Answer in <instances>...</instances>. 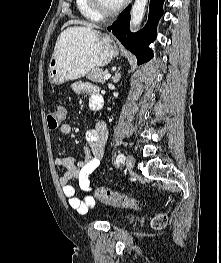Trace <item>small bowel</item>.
<instances>
[{
	"mask_svg": "<svg viewBox=\"0 0 221 263\" xmlns=\"http://www.w3.org/2000/svg\"><path fill=\"white\" fill-rule=\"evenodd\" d=\"M72 89L77 95H85L89 97V104L93 108L102 97L99 93V88L89 82H75ZM62 134H69L71 126L63 123L59 127ZM108 136V129L104 122H97L95 126L86 132L87 148L85 156L81 160L72 157L55 158L57 166L64 169V172L59 176V184L63 195L66 197L69 206L79 212L85 214L93 209L96 205L95 198L88 194L84 198H79L75 195V188L70 185V181L76 179L80 189L86 193L92 190L90 176L97 169L104 154V146Z\"/></svg>",
	"mask_w": 221,
	"mask_h": 263,
	"instance_id": "small-bowel-1",
	"label": "small bowel"
}]
</instances>
